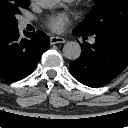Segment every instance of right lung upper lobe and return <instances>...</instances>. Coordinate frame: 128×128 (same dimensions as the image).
Listing matches in <instances>:
<instances>
[{
	"mask_svg": "<svg viewBox=\"0 0 128 128\" xmlns=\"http://www.w3.org/2000/svg\"><path fill=\"white\" fill-rule=\"evenodd\" d=\"M8 32V30H0V33Z\"/></svg>",
	"mask_w": 128,
	"mask_h": 128,
	"instance_id": "cb5924a9",
	"label": "right lung upper lobe"
}]
</instances>
